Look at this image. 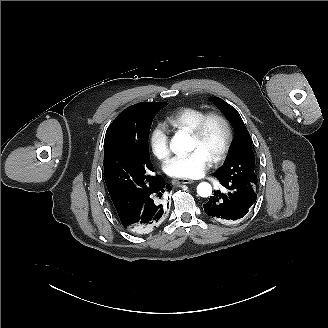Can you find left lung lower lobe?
Returning a JSON list of instances; mask_svg holds the SVG:
<instances>
[{
  "label": "left lung lower lobe",
  "mask_w": 328,
  "mask_h": 328,
  "mask_svg": "<svg viewBox=\"0 0 328 328\" xmlns=\"http://www.w3.org/2000/svg\"><path fill=\"white\" fill-rule=\"evenodd\" d=\"M228 193L214 192L206 204L205 213L215 220L225 223L243 218L256 201L255 185L244 181L225 180L215 174Z\"/></svg>",
  "instance_id": "obj_1"
}]
</instances>
